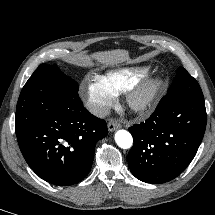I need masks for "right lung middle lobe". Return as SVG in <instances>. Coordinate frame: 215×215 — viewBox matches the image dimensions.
Instances as JSON below:
<instances>
[{
  "label": "right lung middle lobe",
  "mask_w": 215,
  "mask_h": 215,
  "mask_svg": "<svg viewBox=\"0 0 215 215\" xmlns=\"http://www.w3.org/2000/svg\"><path fill=\"white\" fill-rule=\"evenodd\" d=\"M78 91V84L56 65L41 64L23 87L16 107V135L28 128L62 97Z\"/></svg>",
  "instance_id": "1"
}]
</instances>
